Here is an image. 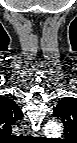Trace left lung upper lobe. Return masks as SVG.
<instances>
[{"label":"left lung upper lobe","instance_id":"obj_1","mask_svg":"<svg viewBox=\"0 0 77 143\" xmlns=\"http://www.w3.org/2000/svg\"><path fill=\"white\" fill-rule=\"evenodd\" d=\"M52 116L60 119L64 125V135L67 138L75 135L77 130V100L62 99L54 108Z\"/></svg>","mask_w":77,"mask_h":143}]
</instances>
